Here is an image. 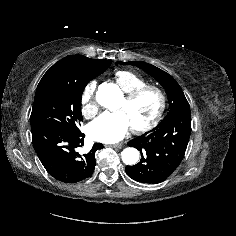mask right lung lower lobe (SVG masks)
Segmentation results:
<instances>
[{"label":"right lung lower lobe","mask_w":236,"mask_h":236,"mask_svg":"<svg viewBox=\"0 0 236 236\" xmlns=\"http://www.w3.org/2000/svg\"><path fill=\"white\" fill-rule=\"evenodd\" d=\"M33 147L47 172L64 183L88 178L95 169V152L103 148L95 143L87 154L76 152L84 142V134H70L45 125L31 126Z\"/></svg>","instance_id":"98d812e1"}]
</instances>
